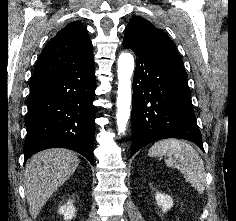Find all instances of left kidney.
I'll use <instances>...</instances> for the list:
<instances>
[{"label":"left kidney","mask_w":236,"mask_h":221,"mask_svg":"<svg viewBox=\"0 0 236 221\" xmlns=\"http://www.w3.org/2000/svg\"><path fill=\"white\" fill-rule=\"evenodd\" d=\"M155 199H156L158 206L162 207V211L164 213L167 212L169 209H171V207L173 206V199L166 194H162L160 192H157Z\"/></svg>","instance_id":"5707ae66"}]
</instances>
